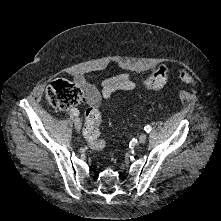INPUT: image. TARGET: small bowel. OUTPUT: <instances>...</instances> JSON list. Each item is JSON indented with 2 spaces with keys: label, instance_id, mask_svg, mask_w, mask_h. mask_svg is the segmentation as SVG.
Wrapping results in <instances>:
<instances>
[{
  "label": "small bowel",
  "instance_id": "small-bowel-1",
  "mask_svg": "<svg viewBox=\"0 0 221 221\" xmlns=\"http://www.w3.org/2000/svg\"><path fill=\"white\" fill-rule=\"evenodd\" d=\"M75 82L84 89L88 104L94 107L100 105L101 98L109 100L118 91L132 92L138 87L129 73H121L103 80L100 91L82 75L75 76Z\"/></svg>",
  "mask_w": 221,
  "mask_h": 221
}]
</instances>
